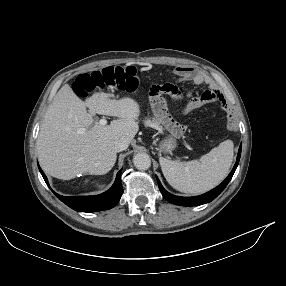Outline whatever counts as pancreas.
<instances>
[{"instance_id": "pancreas-1", "label": "pancreas", "mask_w": 286, "mask_h": 286, "mask_svg": "<svg viewBox=\"0 0 286 286\" xmlns=\"http://www.w3.org/2000/svg\"><path fill=\"white\" fill-rule=\"evenodd\" d=\"M144 124L147 127H153V128H156V129L160 128V123L157 120H155V119H153V120H150V119L145 120Z\"/></svg>"}]
</instances>
